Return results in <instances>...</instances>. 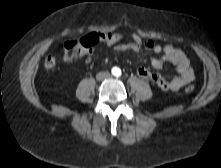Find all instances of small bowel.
I'll use <instances>...</instances> for the list:
<instances>
[{
    "instance_id": "c3829d8e",
    "label": "small bowel",
    "mask_w": 221,
    "mask_h": 168,
    "mask_svg": "<svg viewBox=\"0 0 221 168\" xmlns=\"http://www.w3.org/2000/svg\"><path fill=\"white\" fill-rule=\"evenodd\" d=\"M112 46L116 52L133 51L138 53L142 49L138 48L131 42H120L119 44ZM143 48L147 51L153 52L154 56L151 58L150 62L154 69L161 70L164 63L168 62L176 67L178 75L170 79H165L156 73L150 72L147 68L140 67L137 70L139 77L152 81L164 91H178L194 80V71L191 67L190 60L182 50L171 45L161 46L155 44L151 40H146V45ZM86 61L89 63L90 58H87Z\"/></svg>"
}]
</instances>
